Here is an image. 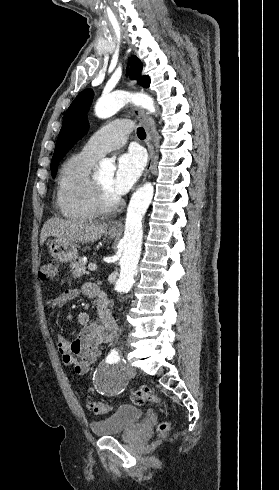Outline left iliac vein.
Wrapping results in <instances>:
<instances>
[{"label": "left iliac vein", "mask_w": 279, "mask_h": 490, "mask_svg": "<svg viewBox=\"0 0 279 490\" xmlns=\"http://www.w3.org/2000/svg\"><path fill=\"white\" fill-rule=\"evenodd\" d=\"M132 363H133V360L129 358V359H127V361L124 364L125 367H127L129 373H132L135 371L134 368L131 366Z\"/></svg>", "instance_id": "obj_1"}]
</instances>
